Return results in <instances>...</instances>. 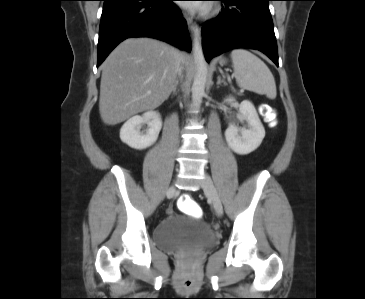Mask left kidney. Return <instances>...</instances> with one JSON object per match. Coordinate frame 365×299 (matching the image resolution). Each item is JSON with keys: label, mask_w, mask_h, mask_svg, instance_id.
I'll list each match as a JSON object with an SVG mask.
<instances>
[{"label": "left kidney", "mask_w": 365, "mask_h": 299, "mask_svg": "<svg viewBox=\"0 0 365 299\" xmlns=\"http://www.w3.org/2000/svg\"><path fill=\"white\" fill-rule=\"evenodd\" d=\"M230 102L234 99L230 98ZM241 119L248 123V129H239L231 124L225 131L229 147L236 153L246 155L257 149L265 137L264 127L258 117L254 105L244 100L239 104Z\"/></svg>", "instance_id": "5707ae66"}]
</instances>
